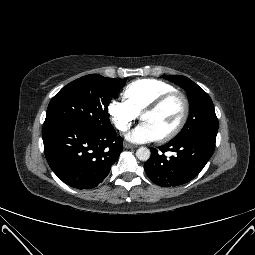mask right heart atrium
<instances>
[{
  "label": "right heart atrium",
  "mask_w": 255,
  "mask_h": 255,
  "mask_svg": "<svg viewBox=\"0 0 255 255\" xmlns=\"http://www.w3.org/2000/svg\"><path fill=\"white\" fill-rule=\"evenodd\" d=\"M107 112L110 120L120 132H126L138 117V114L125 101L116 99L109 102Z\"/></svg>",
  "instance_id": "obj_1"
}]
</instances>
